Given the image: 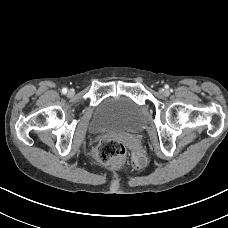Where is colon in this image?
Returning a JSON list of instances; mask_svg holds the SVG:
<instances>
[{"mask_svg": "<svg viewBox=\"0 0 228 228\" xmlns=\"http://www.w3.org/2000/svg\"><path fill=\"white\" fill-rule=\"evenodd\" d=\"M126 149L122 143L114 139L102 140L91 151L92 157L101 164H109L124 157Z\"/></svg>", "mask_w": 228, "mask_h": 228, "instance_id": "obj_1", "label": "colon"}]
</instances>
